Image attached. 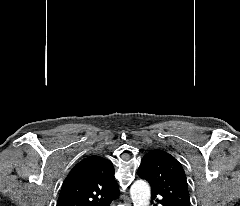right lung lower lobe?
Returning <instances> with one entry per match:
<instances>
[{
	"mask_svg": "<svg viewBox=\"0 0 240 206\" xmlns=\"http://www.w3.org/2000/svg\"><path fill=\"white\" fill-rule=\"evenodd\" d=\"M119 196V193L104 200L101 204H99V206H109V204L112 202V200L116 199Z\"/></svg>",
	"mask_w": 240,
	"mask_h": 206,
	"instance_id": "right-lung-lower-lobe-1",
	"label": "right lung lower lobe"
}]
</instances>
